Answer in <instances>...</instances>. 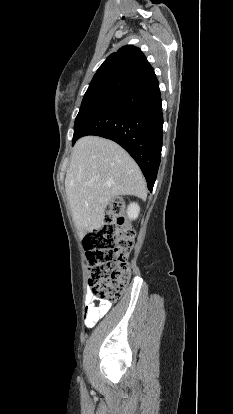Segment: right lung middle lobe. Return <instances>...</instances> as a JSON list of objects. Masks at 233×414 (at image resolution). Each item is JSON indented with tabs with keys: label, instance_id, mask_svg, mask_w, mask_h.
Instances as JSON below:
<instances>
[{
	"label": "right lung middle lobe",
	"instance_id": "obj_1",
	"mask_svg": "<svg viewBox=\"0 0 233 414\" xmlns=\"http://www.w3.org/2000/svg\"><path fill=\"white\" fill-rule=\"evenodd\" d=\"M132 83V80L119 76H104L91 81L75 120L72 144L76 141L77 130L84 117L96 106L116 95L122 94Z\"/></svg>",
	"mask_w": 233,
	"mask_h": 414
}]
</instances>
